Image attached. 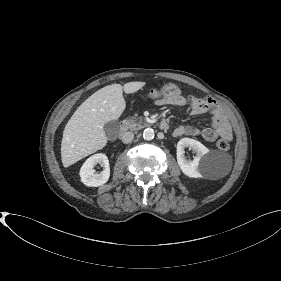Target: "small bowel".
<instances>
[{
    "label": "small bowel",
    "mask_w": 281,
    "mask_h": 281,
    "mask_svg": "<svg viewBox=\"0 0 281 281\" xmlns=\"http://www.w3.org/2000/svg\"><path fill=\"white\" fill-rule=\"evenodd\" d=\"M157 103L159 105L175 107L189 106L193 115L209 114L211 127L199 128L192 125H180L173 131V136L175 137H201L209 142L215 141L218 137L227 140L232 139L230 125L217 102L211 97L182 96L180 94H175L163 97L158 100Z\"/></svg>",
    "instance_id": "c3829d8e"
}]
</instances>
